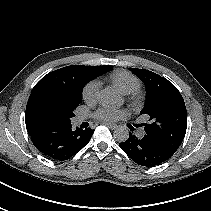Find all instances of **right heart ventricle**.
<instances>
[{
  "label": "right heart ventricle",
  "instance_id": "obj_1",
  "mask_svg": "<svg viewBox=\"0 0 211 211\" xmlns=\"http://www.w3.org/2000/svg\"><path fill=\"white\" fill-rule=\"evenodd\" d=\"M110 80L124 94L134 93L141 86L139 79L127 71L115 72L110 76Z\"/></svg>",
  "mask_w": 211,
  "mask_h": 211
}]
</instances>
